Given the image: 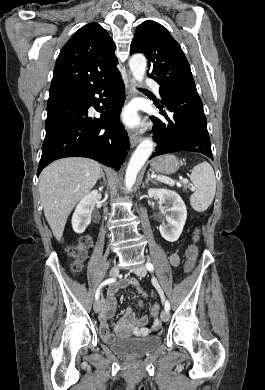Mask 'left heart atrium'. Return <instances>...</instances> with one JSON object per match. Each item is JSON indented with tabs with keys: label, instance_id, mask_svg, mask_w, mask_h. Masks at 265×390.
I'll return each instance as SVG.
<instances>
[{
	"label": "left heart atrium",
	"instance_id": "39dd6f15",
	"mask_svg": "<svg viewBox=\"0 0 265 390\" xmlns=\"http://www.w3.org/2000/svg\"><path fill=\"white\" fill-rule=\"evenodd\" d=\"M123 119L126 123L129 125H134L138 123V117L136 115V112L133 108H129L125 110L123 114Z\"/></svg>",
	"mask_w": 265,
	"mask_h": 390
}]
</instances>
